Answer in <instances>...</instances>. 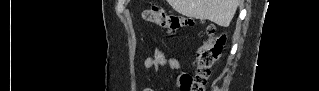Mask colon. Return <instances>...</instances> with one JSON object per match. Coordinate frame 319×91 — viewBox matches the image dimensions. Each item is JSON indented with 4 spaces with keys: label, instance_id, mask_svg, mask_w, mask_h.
Segmentation results:
<instances>
[{
    "label": "colon",
    "instance_id": "obj_1",
    "mask_svg": "<svg viewBox=\"0 0 319 91\" xmlns=\"http://www.w3.org/2000/svg\"><path fill=\"white\" fill-rule=\"evenodd\" d=\"M143 19L165 31L171 36L177 35L184 28L192 25V20L169 12L159 6H151L144 10ZM224 34H216L213 26L206 27V36L196 52V73L194 77H180V91H204L212 68L219 59L224 43Z\"/></svg>",
    "mask_w": 319,
    "mask_h": 91
}]
</instances>
